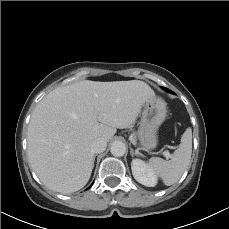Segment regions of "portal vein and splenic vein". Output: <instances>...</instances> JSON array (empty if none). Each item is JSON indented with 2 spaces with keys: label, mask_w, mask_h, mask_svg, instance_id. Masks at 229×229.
Wrapping results in <instances>:
<instances>
[{
  "label": "portal vein and splenic vein",
  "mask_w": 229,
  "mask_h": 229,
  "mask_svg": "<svg viewBox=\"0 0 229 229\" xmlns=\"http://www.w3.org/2000/svg\"><path fill=\"white\" fill-rule=\"evenodd\" d=\"M162 154L164 155V157H166V159L171 158V155L168 151H164V152H162Z\"/></svg>",
  "instance_id": "obj_1"
}]
</instances>
